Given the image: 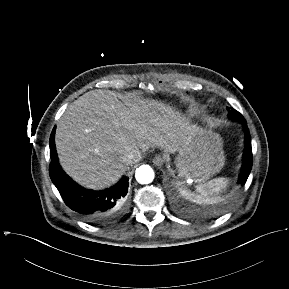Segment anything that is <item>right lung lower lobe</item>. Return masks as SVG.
Here are the masks:
<instances>
[{"label": "right lung lower lobe", "mask_w": 289, "mask_h": 289, "mask_svg": "<svg viewBox=\"0 0 289 289\" xmlns=\"http://www.w3.org/2000/svg\"><path fill=\"white\" fill-rule=\"evenodd\" d=\"M55 127L50 136V177L65 204L86 222L102 224L116 219L128 192V180L123 177L110 189L92 191L72 181L61 169L54 143Z\"/></svg>", "instance_id": "right-lung-lower-lobe-1"}]
</instances>
